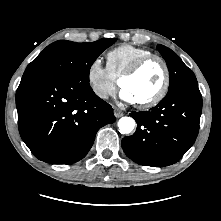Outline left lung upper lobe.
I'll list each match as a JSON object with an SVG mask.
<instances>
[{
  "label": "left lung upper lobe",
  "mask_w": 221,
  "mask_h": 221,
  "mask_svg": "<svg viewBox=\"0 0 221 221\" xmlns=\"http://www.w3.org/2000/svg\"><path fill=\"white\" fill-rule=\"evenodd\" d=\"M157 49L165 59L168 66L170 74L168 93L184 86L198 85L194 73L183 63L175 52L163 45H158Z\"/></svg>",
  "instance_id": "left-lung-upper-lobe-1"
}]
</instances>
